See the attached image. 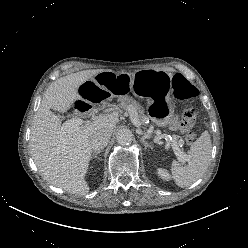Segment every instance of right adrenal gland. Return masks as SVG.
I'll return each mask as SVG.
<instances>
[{
	"mask_svg": "<svg viewBox=\"0 0 248 248\" xmlns=\"http://www.w3.org/2000/svg\"><path fill=\"white\" fill-rule=\"evenodd\" d=\"M102 151L101 150H98V151H95L94 153H93V155L91 156V158H98V154H100Z\"/></svg>",
	"mask_w": 248,
	"mask_h": 248,
	"instance_id": "right-adrenal-gland-1",
	"label": "right adrenal gland"
}]
</instances>
